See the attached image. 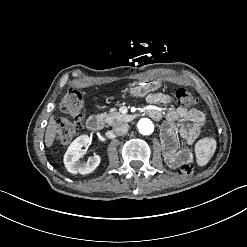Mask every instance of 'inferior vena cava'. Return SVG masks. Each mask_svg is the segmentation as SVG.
Instances as JSON below:
<instances>
[{"instance_id": "obj_1", "label": "inferior vena cava", "mask_w": 247, "mask_h": 247, "mask_svg": "<svg viewBox=\"0 0 247 247\" xmlns=\"http://www.w3.org/2000/svg\"><path fill=\"white\" fill-rule=\"evenodd\" d=\"M128 129L129 125L125 122H119L113 126V131L116 135H123L128 131Z\"/></svg>"}]
</instances>
